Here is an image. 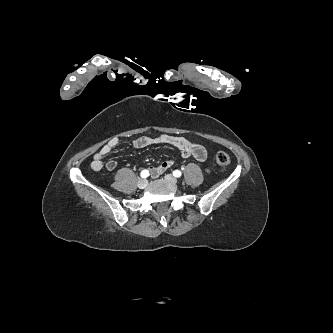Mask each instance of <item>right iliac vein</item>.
Listing matches in <instances>:
<instances>
[{
	"label": "right iliac vein",
	"instance_id": "63e3f726",
	"mask_svg": "<svg viewBox=\"0 0 333 333\" xmlns=\"http://www.w3.org/2000/svg\"><path fill=\"white\" fill-rule=\"evenodd\" d=\"M148 184V181L145 180V179H140L138 182H137V186L140 188V189H144Z\"/></svg>",
	"mask_w": 333,
	"mask_h": 333
}]
</instances>
